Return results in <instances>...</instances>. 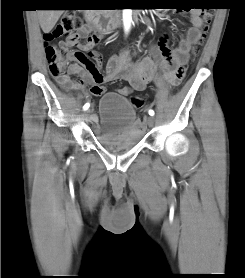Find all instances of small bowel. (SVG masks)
<instances>
[{"label": "small bowel", "mask_w": 245, "mask_h": 278, "mask_svg": "<svg viewBox=\"0 0 245 278\" xmlns=\"http://www.w3.org/2000/svg\"><path fill=\"white\" fill-rule=\"evenodd\" d=\"M190 21L192 27L188 29L185 37H181L176 49L170 48L168 36L163 35L157 44L150 45V55L139 62L132 63L127 51L112 56L105 75L100 71V60L95 63L90 58L91 50L101 41L105 33L97 30L92 33L93 28L88 24L84 25L61 43L84 51L87 53L86 59L69 65L64 75L69 84H64L59 79L56 80L62 88L69 91H77L79 88L90 86L89 93L93 96L104 94L103 83L110 81H127L136 91L145 90L148 84L154 81L158 85H161L163 81L173 84L175 80L186 75L190 53L202 37L200 12L192 11ZM159 71L162 72L161 76H158ZM72 76H77L79 79L75 80Z\"/></svg>", "instance_id": "obj_1"}]
</instances>
